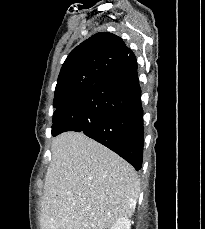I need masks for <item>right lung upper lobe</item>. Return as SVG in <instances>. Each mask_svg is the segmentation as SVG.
<instances>
[{
	"label": "right lung upper lobe",
	"mask_w": 205,
	"mask_h": 229,
	"mask_svg": "<svg viewBox=\"0 0 205 229\" xmlns=\"http://www.w3.org/2000/svg\"><path fill=\"white\" fill-rule=\"evenodd\" d=\"M131 50L123 40L109 32H100L74 48L65 60L56 85L54 107L73 98L118 68Z\"/></svg>",
	"instance_id": "right-lung-upper-lobe-1"
}]
</instances>
